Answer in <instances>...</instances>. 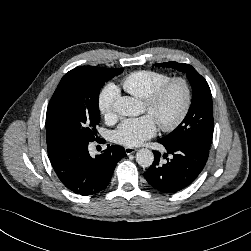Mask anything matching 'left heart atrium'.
<instances>
[{"label":"left heart atrium","instance_id":"1","mask_svg":"<svg viewBox=\"0 0 251 251\" xmlns=\"http://www.w3.org/2000/svg\"><path fill=\"white\" fill-rule=\"evenodd\" d=\"M157 124L150 115L125 119L114 133V140L126 147H136L156 134Z\"/></svg>","mask_w":251,"mask_h":251}]
</instances>
